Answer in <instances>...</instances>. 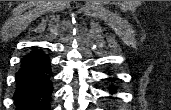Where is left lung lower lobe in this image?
<instances>
[{"instance_id":"obj_1","label":"left lung lower lobe","mask_w":171,"mask_h":110,"mask_svg":"<svg viewBox=\"0 0 171 110\" xmlns=\"http://www.w3.org/2000/svg\"><path fill=\"white\" fill-rule=\"evenodd\" d=\"M109 90V92L111 94H115L116 93V89H115V86H111V88H109V85L107 86V91Z\"/></svg>"}]
</instances>
